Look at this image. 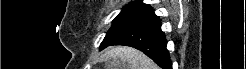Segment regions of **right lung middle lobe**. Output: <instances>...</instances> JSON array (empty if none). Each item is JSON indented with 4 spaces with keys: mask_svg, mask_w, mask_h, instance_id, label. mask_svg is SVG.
Returning a JSON list of instances; mask_svg holds the SVG:
<instances>
[{
    "mask_svg": "<svg viewBox=\"0 0 246 69\" xmlns=\"http://www.w3.org/2000/svg\"><path fill=\"white\" fill-rule=\"evenodd\" d=\"M143 21V17L140 16H129V17H118L113 20V25L106 34L103 42L100 45V50L106 48L113 40L118 36L133 28L137 24Z\"/></svg>",
    "mask_w": 246,
    "mask_h": 69,
    "instance_id": "obj_1",
    "label": "right lung middle lobe"
}]
</instances>
